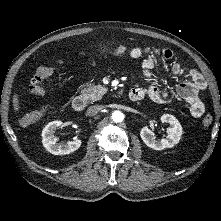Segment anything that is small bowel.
<instances>
[{"label":"small bowel","instance_id":"1","mask_svg":"<svg viewBox=\"0 0 221 221\" xmlns=\"http://www.w3.org/2000/svg\"><path fill=\"white\" fill-rule=\"evenodd\" d=\"M101 53H114L116 55H128L133 59L144 57L142 62L143 75L147 79L153 77V69L156 65L157 58L161 56L164 60L172 61L173 72L178 76H183V69L175 61L174 54L170 49H151L139 46L129 47L128 51H117L111 49H102ZM90 64L95 65V59L91 58ZM206 88V83L202 75L195 69H190L187 72V77L176 88L177 96L183 100L194 118H200L205 112V106L200 98V93ZM138 100L149 97L156 103L168 104L172 102L171 94L156 86L137 87L132 89Z\"/></svg>","mask_w":221,"mask_h":221}]
</instances>
